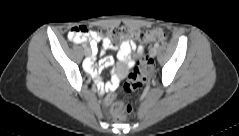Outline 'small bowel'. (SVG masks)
Masks as SVG:
<instances>
[{
  "mask_svg": "<svg viewBox=\"0 0 239 136\" xmlns=\"http://www.w3.org/2000/svg\"><path fill=\"white\" fill-rule=\"evenodd\" d=\"M68 37H69L70 40H72L76 43H83L88 38L91 41L90 44H92V46H94V52H96V51L98 52L97 43L100 40H102L103 51L104 50H109V49L117 50L118 61L121 62L122 64L126 65L127 68L132 67L133 64H134L133 52L134 51L141 52L142 49H143V47L141 45L136 46L135 43L130 41V40H124V41L121 42L119 47H115L114 45H112L110 43L109 39L100 37L95 31H91L90 35L85 39L73 40L70 37V32L68 33ZM112 64H113V58L112 57H106L101 61L100 69L101 70L106 69V68L110 67ZM85 68L93 76L98 75V72L91 66V63H88V61L85 65ZM118 84H119V76L117 74H114L109 82L100 86V90L102 92L111 93L118 87ZM112 100H113L112 95H107L105 97V103L106 104H110L112 102Z\"/></svg>",
  "mask_w": 239,
  "mask_h": 136,
  "instance_id": "c3829d8e",
  "label": "small bowel"
}]
</instances>
